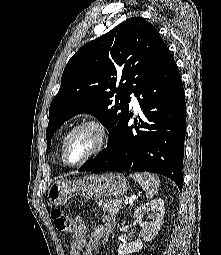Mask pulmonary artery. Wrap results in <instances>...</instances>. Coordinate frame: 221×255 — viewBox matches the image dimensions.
<instances>
[{
	"instance_id": "1",
	"label": "pulmonary artery",
	"mask_w": 221,
	"mask_h": 255,
	"mask_svg": "<svg viewBox=\"0 0 221 255\" xmlns=\"http://www.w3.org/2000/svg\"><path fill=\"white\" fill-rule=\"evenodd\" d=\"M131 104L135 108L138 107V101H137V99H136V97L134 95H132Z\"/></svg>"
}]
</instances>
